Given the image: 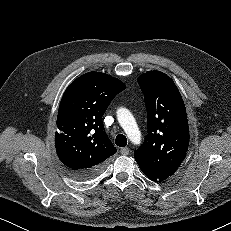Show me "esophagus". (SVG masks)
<instances>
[{"label":"esophagus","instance_id":"34e87169","mask_svg":"<svg viewBox=\"0 0 231 231\" xmlns=\"http://www.w3.org/2000/svg\"><path fill=\"white\" fill-rule=\"evenodd\" d=\"M129 152H130V150H129V148H121V150H120V153L122 154V155H128L129 154Z\"/></svg>","mask_w":231,"mask_h":231}]
</instances>
